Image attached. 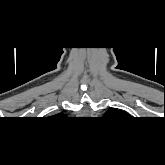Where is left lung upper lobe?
I'll return each instance as SVG.
<instances>
[{"instance_id": "1", "label": "left lung upper lobe", "mask_w": 165, "mask_h": 165, "mask_svg": "<svg viewBox=\"0 0 165 165\" xmlns=\"http://www.w3.org/2000/svg\"><path fill=\"white\" fill-rule=\"evenodd\" d=\"M106 114L108 115V116H124V115H127L125 112H123L122 110H118V109H114V108H112V109H110V110H108L107 112H106Z\"/></svg>"}]
</instances>
